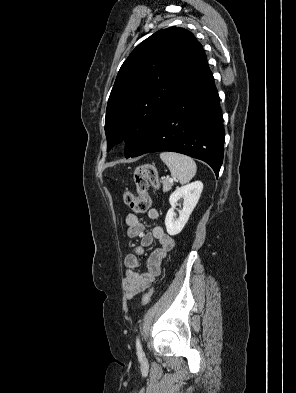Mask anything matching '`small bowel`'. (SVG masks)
<instances>
[{"label": "small bowel", "mask_w": 296, "mask_h": 393, "mask_svg": "<svg viewBox=\"0 0 296 393\" xmlns=\"http://www.w3.org/2000/svg\"><path fill=\"white\" fill-rule=\"evenodd\" d=\"M147 216L151 220H156L159 217V213L157 209L150 208ZM126 225L129 238L141 237V245L135 246L133 252L127 254L124 259L127 268L124 287L127 298L132 300L145 292L160 274L162 261L174 247V240L165 233L161 226H155L150 232H146L139 216L133 212L126 216ZM154 241H158L161 246L153 250L148 257L147 270H138L144 248L151 246Z\"/></svg>", "instance_id": "c3829d8e"}]
</instances>
